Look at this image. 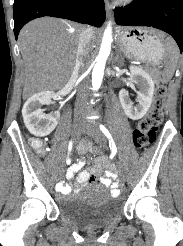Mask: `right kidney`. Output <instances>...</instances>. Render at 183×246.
<instances>
[{
    "mask_svg": "<svg viewBox=\"0 0 183 246\" xmlns=\"http://www.w3.org/2000/svg\"><path fill=\"white\" fill-rule=\"evenodd\" d=\"M52 99H59V95L53 91H42L31 96L22 108V116L26 128L37 137L50 134L58 124L60 113L45 114L42 105L51 103Z\"/></svg>",
    "mask_w": 183,
    "mask_h": 246,
    "instance_id": "ca27d5eb",
    "label": "right kidney"
}]
</instances>
